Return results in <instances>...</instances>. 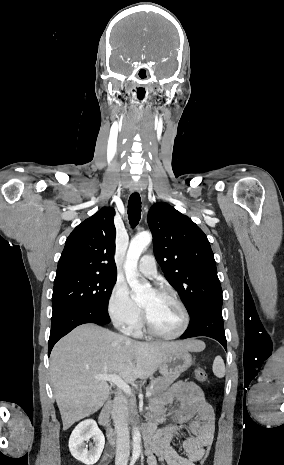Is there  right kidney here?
I'll return each mask as SVG.
<instances>
[{
	"mask_svg": "<svg viewBox=\"0 0 284 465\" xmlns=\"http://www.w3.org/2000/svg\"><path fill=\"white\" fill-rule=\"evenodd\" d=\"M91 437L94 441V447H91L90 451H88V449H85L84 441H89ZM104 445V435L93 419H86V421L79 423L72 431L69 439L71 455L84 465H95L101 457Z\"/></svg>",
	"mask_w": 284,
	"mask_h": 465,
	"instance_id": "obj_1",
	"label": "right kidney"
}]
</instances>
